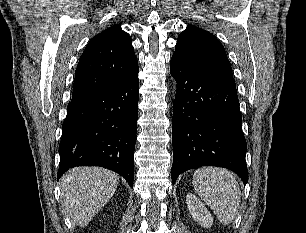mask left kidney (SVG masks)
I'll return each instance as SVG.
<instances>
[{"label":"left kidney","instance_id":"obj_1","mask_svg":"<svg viewBox=\"0 0 306 233\" xmlns=\"http://www.w3.org/2000/svg\"><path fill=\"white\" fill-rule=\"evenodd\" d=\"M188 210L195 221L204 228H210L213 217L206 206L192 193L186 196Z\"/></svg>","mask_w":306,"mask_h":233}]
</instances>
